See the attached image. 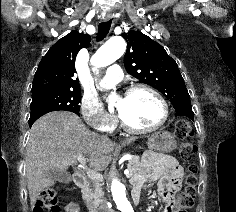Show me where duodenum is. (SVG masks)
<instances>
[{"label":"duodenum","mask_w":236,"mask_h":212,"mask_svg":"<svg viewBox=\"0 0 236 212\" xmlns=\"http://www.w3.org/2000/svg\"><path fill=\"white\" fill-rule=\"evenodd\" d=\"M73 179L75 184L84 192L86 193L88 190V181L87 178L85 176V174L82 171H76L73 175ZM140 198V191H136L134 190L133 192V200L135 202H138ZM91 212H104L103 210H96L93 209L91 210Z\"/></svg>","instance_id":"duodenum-1"}]
</instances>
